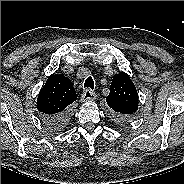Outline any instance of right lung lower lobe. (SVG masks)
I'll use <instances>...</instances> for the list:
<instances>
[{
	"mask_svg": "<svg viewBox=\"0 0 184 184\" xmlns=\"http://www.w3.org/2000/svg\"><path fill=\"white\" fill-rule=\"evenodd\" d=\"M70 116L69 109L61 114L55 115V116H42V120L44 123L51 127H61L66 122H68Z\"/></svg>",
	"mask_w": 184,
	"mask_h": 184,
	"instance_id": "right-lung-lower-lobe-1",
	"label": "right lung lower lobe"
}]
</instances>
